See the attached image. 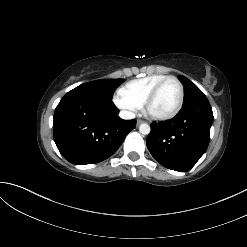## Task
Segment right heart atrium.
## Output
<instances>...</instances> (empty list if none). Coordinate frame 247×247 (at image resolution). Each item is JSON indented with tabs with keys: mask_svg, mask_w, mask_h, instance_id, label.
Instances as JSON below:
<instances>
[{
	"mask_svg": "<svg viewBox=\"0 0 247 247\" xmlns=\"http://www.w3.org/2000/svg\"><path fill=\"white\" fill-rule=\"evenodd\" d=\"M114 104L127 115H133L140 109V105L129 99L121 91L114 96Z\"/></svg>",
	"mask_w": 247,
	"mask_h": 247,
	"instance_id": "obj_1",
	"label": "right heart atrium"
}]
</instances>
